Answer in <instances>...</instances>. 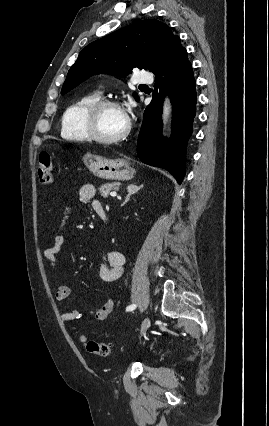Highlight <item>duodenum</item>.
Masks as SVG:
<instances>
[{
    "mask_svg": "<svg viewBox=\"0 0 269 426\" xmlns=\"http://www.w3.org/2000/svg\"><path fill=\"white\" fill-rule=\"evenodd\" d=\"M96 212H97L98 216L100 217V219H101L104 223H108V217H107V214H106L105 210H104L102 207L98 208V209L96 210Z\"/></svg>",
    "mask_w": 269,
    "mask_h": 426,
    "instance_id": "obj_1",
    "label": "duodenum"
}]
</instances>
